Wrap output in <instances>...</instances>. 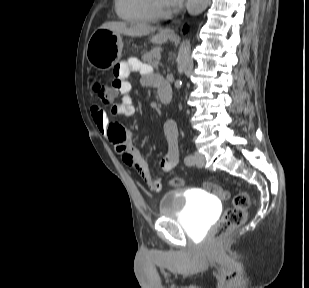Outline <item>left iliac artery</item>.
I'll return each mask as SVG.
<instances>
[{"mask_svg":"<svg viewBox=\"0 0 309 288\" xmlns=\"http://www.w3.org/2000/svg\"><path fill=\"white\" fill-rule=\"evenodd\" d=\"M184 162L186 165L190 166L194 164V156L192 154H189L185 157Z\"/></svg>","mask_w":309,"mask_h":288,"instance_id":"left-iliac-artery-1","label":"left iliac artery"}]
</instances>
